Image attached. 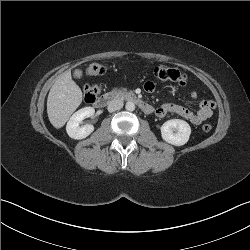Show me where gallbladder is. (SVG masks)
<instances>
[{
  "instance_id": "obj_1",
  "label": "gallbladder",
  "mask_w": 250,
  "mask_h": 250,
  "mask_svg": "<svg viewBox=\"0 0 250 250\" xmlns=\"http://www.w3.org/2000/svg\"><path fill=\"white\" fill-rule=\"evenodd\" d=\"M73 75H74L75 78H81L82 77V71L80 69H76V70H74Z\"/></svg>"
}]
</instances>
